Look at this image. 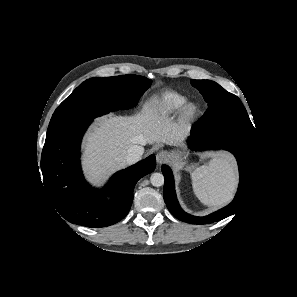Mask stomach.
<instances>
[{
    "label": "stomach",
    "mask_w": 297,
    "mask_h": 297,
    "mask_svg": "<svg viewBox=\"0 0 297 297\" xmlns=\"http://www.w3.org/2000/svg\"><path fill=\"white\" fill-rule=\"evenodd\" d=\"M193 168V166H187V170H190V169H192Z\"/></svg>",
    "instance_id": "0dacf381"
}]
</instances>
